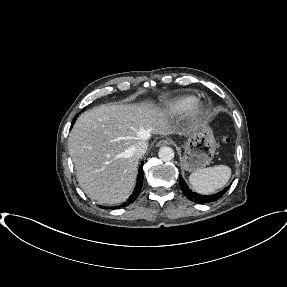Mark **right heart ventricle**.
Segmentation results:
<instances>
[{
    "instance_id": "obj_1",
    "label": "right heart ventricle",
    "mask_w": 287,
    "mask_h": 287,
    "mask_svg": "<svg viewBox=\"0 0 287 287\" xmlns=\"http://www.w3.org/2000/svg\"><path fill=\"white\" fill-rule=\"evenodd\" d=\"M195 100L196 98L194 96H182L169 100L161 106L160 112L169 116L176 115L188 110Z\"/></svg>"
}]
</instances>
